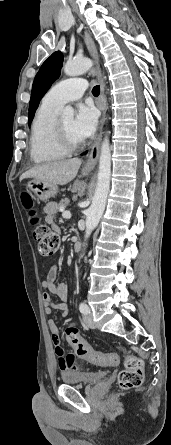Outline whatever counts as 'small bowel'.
<instances>
[{"mask_svg":"<svg viewBox=\"0 0 171 445\" xmlns=\"http://www.w3.org/2000/svg\"><path fill=\"white\" fill-rule=\"evenodd\" d=\"M56 211V205L53 203L45 206V212L47 214L46 221L54 228H57L53 221V214ZM56 269L52 268L47 278L42 282V287L48 292L43 293L42 299L44 304L45 313L50 315L54 308L61 312V317H65L69 313V308L66 303L68 298V287L65 283H56ZM51 295L57 296L61 303L54 304ZM48 328L51 333V339L54 344L55 353L58 357V366L61 372L75 371L78 369V365L75 362L74 355H65L61 347L60 329L57 322L53 319L48 320Z\"/></svg>","mask_w":171,"mask_h":445,"instance_id":"1","label":"small bowel"}]
</instances>
